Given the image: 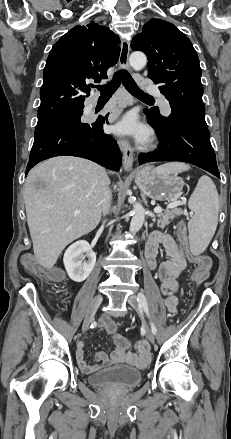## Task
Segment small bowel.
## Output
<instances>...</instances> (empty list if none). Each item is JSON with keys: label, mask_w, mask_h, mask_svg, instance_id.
I'll return each instance as SVG.
<instances>
[{"label": "small bowel", "mask_w": 231, "mask_h": 439, "mask_svg": "<svg viewBox=\"0 0 231 439\" xmlns=\"http://www.w3.org/2000/svg\"><path fill=\"white\" fill-rule=\"evenodd\" d=\"M160 247L164 249L169 259L158 263L157 256ZM145 257L149 267L157 272V276L161 281V290L165 296L167 309L170 313L175 314L178 304V278L185 271L188 263L186 247L180 238L177 239L170 234L155 231L146 243ZM99 327L112 336L115 349L110 355L104 352L96 353L95 360L98 365H90L85 360L83 346H79L76 357L83 372L92 373L101 366L114 364H127L140 368L148 364L150 356L145 341L131 343L127 338L117 333L116 323L110 317L102 318Z\"/></svg>", "instance_id": "small-bowel-1"}]
</instances>
